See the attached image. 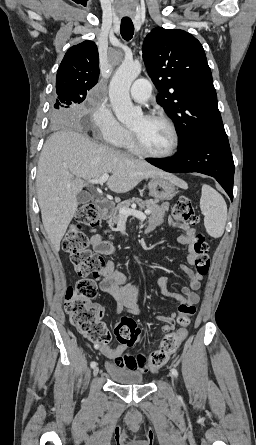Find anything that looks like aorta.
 I'll use <instances>...</instances> for the list:
<instances>
[{
	"label": "aorta",
	"instance_id": "aorta-1",
	"mask_svg": "<svg viewBox=\"0 0 256 445\" xmlns=\"http://www.w3.org/2000/svg\"><path fill=\"white\" fill-rule=\"evenodd\" d=\"M139 62H123L111 79L109 98L117 119L129 124L142 116V110L135 107L130 99V86L141 73Z\"/></svg>",
	"mask_w": 256,
	"mask_h": 445
}]
</instances>
